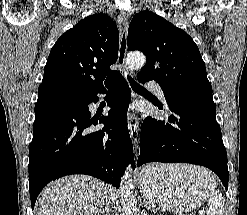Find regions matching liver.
Instances as JSON below:
<instances>
[{"label": "liver", "instance_id": "obj_1", "mask_svg": "<svg viewBox=\"0 0 247 215\" xmlns=\"http://www.w3.org/2000/svg\"><path fill=\"white\" fill-rule=\"evenodd\" d=\"M107 202L104 182L87 175H71L41 192L35 215H102Z\"/></svg>", "mask_w": 247, "mask_h": 215}]
</instances>
